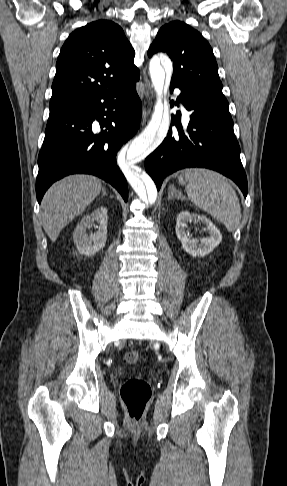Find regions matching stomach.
I'll use <instances>...</instances> for the list:
<instances>
[{"label": "stomach", "instance_id": "1", "mask_svg": "<svg viewBox=\"0 0 287 486\" xmlns=\"http://www.w3.org/2000/svg\"><path fill=\"white\" fill-rule=\"evenodd\" d=\"M179 183L180 184H184L185 183L182 176L179 177Z\"/></svg>", "mask_w": 287, "mask_h": 486}]
</instances>
